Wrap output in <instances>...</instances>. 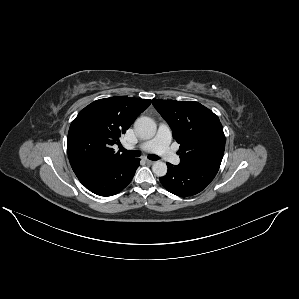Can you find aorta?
Here are the masks:
<instances>
[{
	"label": "aorta",
	"mask_w": 299,
	"mask_h": 299,
	"mask_svg": "<svg viewBox=\"0 0 299 299\" xmlns=\"http://www.w3.org/2000/svg\"><path fill=\"white\" fill-rule=\"evenodd\" d=\"M134 128L137 135L144 140L153 138L157 130L154 120L146 116L139 117L135 121ZM152 171L158 177H163L167 173V165L162 161H156L152 166Z\"/></svg>",
	"instance_id": "aorta-1"
}]
</instances>
